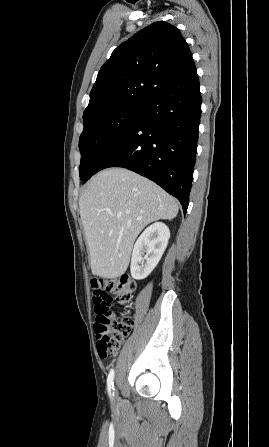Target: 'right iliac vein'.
Segmentation results:
<instances>
[{
    "label": "right iliac vein",
    "mask_w": 269,
    "mask_h": 447,
    "mask_svg": "<svg viewBox=\"0 0 269 447\" xmlns=\"http://www.w3.org/2000/svg\"><path fill=\"white\" fill-rule=\"evenodd\" d=\"M118 397V393H115V399Z\"/></svg>",
    "instance_id": "1"
}]
</instances>
